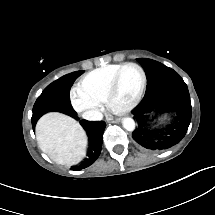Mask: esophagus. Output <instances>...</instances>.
Masks as SVG:
<instances>
[{
	"mask_svg": "<svg viewBox=\"0 0 215 215\" xmlns=\"http://www.w3.org/2000/svg\"><path fill=\"white\" fill-rule=\"evenodd\" d=\"M106 120H107V122H109V123H116V122H119V119H114L113 117H107Z\"/></svg>",
	"mask_w": 215,
	"mask_h": 215,
	"instance_id": "34e87169",
	"label": "esophagus"
}]
</instances>
